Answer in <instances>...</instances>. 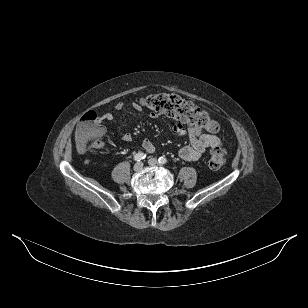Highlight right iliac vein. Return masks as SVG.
<instances>
[{
  "mask_svg": "<svg viewBox=\"0 0 308 308\" xmlns=\"http://www.w3.org/2000/svg\"><path fill=\"white\" fill-rule=\"evenodd\" d=\"M142 168H143V163H142V162L136 163V164L134 165V167H133L134 171H136V172L141 171Z\"/></svg>",
  "mask_w": 308,
  "mask_h": 308,
  "instance_id": "1",
  "label": "right iliac vein"
}]
</instances>
